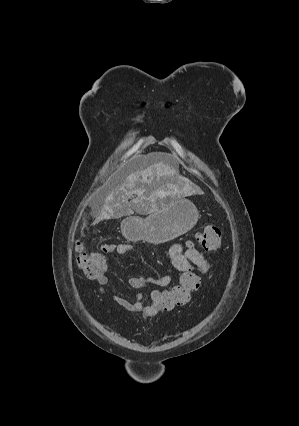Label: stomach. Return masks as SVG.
<instances>
[{
    "label": "stomach",
    "instance_id": "0dacf381",
    "mask_svg": "<svg viewBox=\"0 0 299 426\" xmlns=\"http://www.w3.org/2000/svg\"><path fill=\"white\" fill-rule=\"evenodd\" d=\"M198 218L196 206L188 199L179 198L158 207L146 218L128 217L121 227L123 235L131 241L144 240L158 245L191 230Z\"/></svg>",
    "mask_w": 299,
    "mask_h": 426
}]
</instances>
